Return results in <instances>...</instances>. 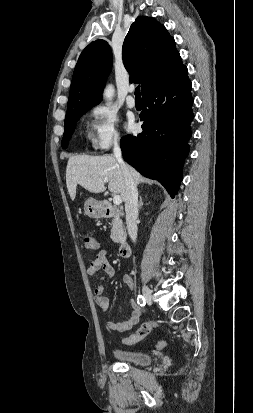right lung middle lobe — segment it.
<instances>
[{"mask_svg": "<svg viewBox=\"0 0 253 413\" xmlns=\"http://www.w3.org/2000/svg\"><path fill=\"white\" fill-rule=\"evenodd\" d=\"M86 111L77 114L75 116L70 117L69 119L65 120V130H64V135L62 139V148H67L68 141L71 138V135L73 134V131L75 130L76 127V122L80 119V117L85 113Z\"/></svg>", "mask_w": 253, "mask_h": 413, "instance_id": "1", "label": "right lung middle lobe"}]
</instances>
